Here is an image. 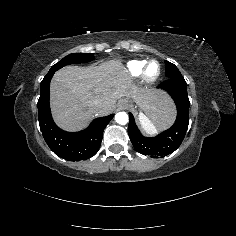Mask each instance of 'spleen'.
Returning <instances> with one entry per match:
<instances>
[{"instance_id":"obj_1","label":"spleen","mask_w":236,"mask_h":236,"mask_svg":"<svg viewBox=\"0 0 236 236\" xmlns=\"http://www.w3.org/2000/svg\"><path fill=\"white\" fill-rule=\"evenodd\" d=\"M139 122L142 128V131L150 136H153L157 133L156 126L153 120H150L146 115L143 113L139 114Z\"/></svg>"}]
</instances>
